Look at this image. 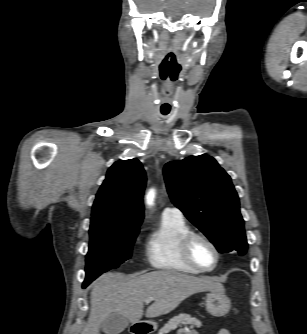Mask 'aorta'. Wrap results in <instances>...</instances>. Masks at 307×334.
<instances>
[{"instance_id": "1", "label": "aorta", "mask_w": 307, "mask_h": 334, "mask_svg": "<svg viewBox=\"0 0 307 334\" xmlns=\"http://www.w3.org/2000/svg\"><path fill=\"white\" fill-rule=\"evenodd\" d=\"M154 198H155V190L151 189V190H149V192L146 195V202H147V204L148 205H153Z\"/></svg>"}]
</instances>
